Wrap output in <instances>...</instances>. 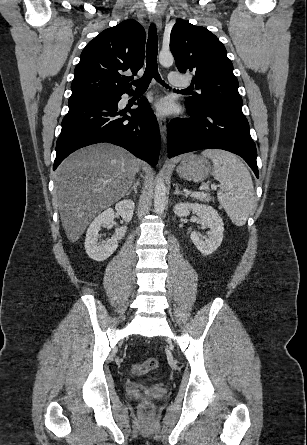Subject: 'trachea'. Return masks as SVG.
I'll return each mask as SVG.
<instances>
[{
    "mask_svg": "<svg viewBox=\"0 0 307 445\" xmlns=\"http://www.w3.org/2000/svg\"><path fill=\"white\" fill-rule=\"evenodd\" d=\"M157 51H158V43H157V30L154 24L150 25L149 33H148V41L146 47V70L144 75L138 80H134L132 85H134L137 89H147L152 78H155L157 82H160L163 85H166L164 81L161 80L160 75L158 73L157 68ZM168 87V85H166Z\"/></svg>",
    "mask_w": 307,
    "mask_h": 445,
    "instance_id": "obj_1",
    "label": "trachea"
}]
</instances>
